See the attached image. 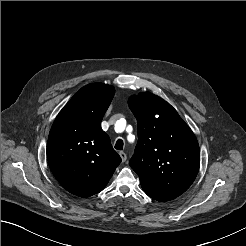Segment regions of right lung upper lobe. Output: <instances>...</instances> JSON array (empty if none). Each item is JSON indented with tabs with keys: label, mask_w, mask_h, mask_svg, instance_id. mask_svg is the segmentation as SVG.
I'll return each instance as SVG.
<instances>
[{
	"label": "right lung upper lobe",
	"mask_w": 246,
	"mask_h": 246,
	"mask_svg": "<svg viewBox=\"0 0 246 246\" xmlns=\"http://www.w3.org/2000/svg\"><path fill=\"white\" fill-rule=\"evenodd\" d=\"M114 93L112 86L102 83L84 86L60 111L50 130V169L74 195L89 197L102 191L121 162L101 128Z\"/></svg>",
	"instance_id": "obj_1"
}]
</instances>
